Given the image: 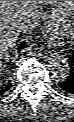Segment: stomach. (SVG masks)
I'll list each match as a JSON object with an SVG mask.
<instances>
[{"label": "stomach", "instance_id": "1", "mask_svg": "<svg viewBox=\"0 0 74 122\" xmlns=\"http://www.w3.org/2000/svg\"><path fill=\"white\" fill-rule=\"evenodd\" d=\"M74 17V1H55L52 18L54 21H70Z\"/></svg>", "mask_w": 74, "mask_h": 122}]
</instances>
